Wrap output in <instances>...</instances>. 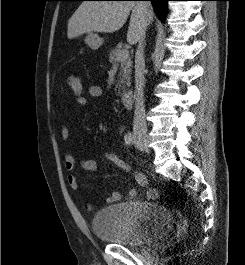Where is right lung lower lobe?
<instances>
[{"instance_id": "right-lung-lower-lobe-1", "label": "right lung lower lobe", "mask_w": 245, "mask_h": 265, "mask_svg": "<svg viewBox=\"0 0 245 265\" xmlns=\"http://www.w3.org/2000/svg\"><path fill=\"white\" fill-rule=\"evenodd\" d=\"M127 1H138V0H127ZM152 2L153 8L161 21H164L166 15V1L169 0H148Z\"/></svg>"}]
</instances>
